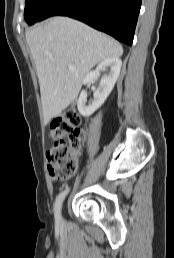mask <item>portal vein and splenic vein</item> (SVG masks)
<instances>
[{
    "instance_id": "obj_1",
    "label": "portal vein and splenic vein",
    "mask_w": 174,
    "mask_h": 258,
    "mask_svg": "<svg viewBox=\"0 0 174 258\" xmlns=\"http://www.w3.org/2000/svg\"><path fill=\"white\" fill-rule=\"evenodd\" d=\"M68 69H69V70H73V69H75V67L72 66V65H69V66H68Z\"/></svg>"
}]
</instances>
